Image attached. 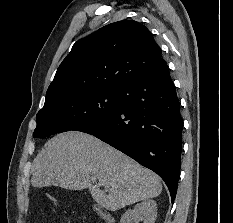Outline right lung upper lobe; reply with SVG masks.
I'll list each match as a JSON object with an SVG mask.
<instances>
[{
	"label": "right lung upper lobe",
	"mask_w": 233,
	"mask_h": 223,
	"mask_svg": "<svg viewBox=\"0 0 233 223\" xmlns=\"http://www.w3.org/2000/svg\"><path fill=\"white\" fill-rule=\"evenodd\" d=\"M166 66L161 48L141 23L123 20L78 40L60 64L45 103L92 88H118Z\"/></svg>",
	"instance_id": "right-lung-upper-lobe-1"
}]
</instances>
